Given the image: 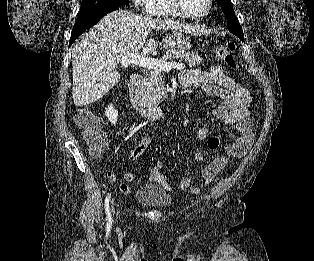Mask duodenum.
Returning a JSON list of instances; mask_svg holds the SVG:
<instances>
[{
	"label": "duodenum",
	"instance_id": "obj_1",
	"mask_svg": "<svg viewBox=\"0 0 314 261\" xmlns=\"http://www.w3.org/2000/svg\"><path fill=\"white\" fill-rule=\"evenodd\" d=\"M129 100L131 106L143 116L151 120H161L166 117L168 108L147 101L142 93V76L133 74L129 81Z\"/></svg>",
	"mask_w": 314,
	"mask_h": 261
}]
</instances>
